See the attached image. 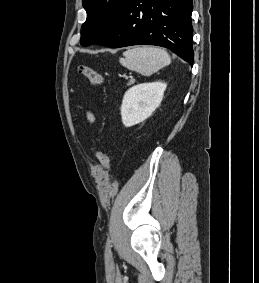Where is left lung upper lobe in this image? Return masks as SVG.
Listing matches in <instances>:
<instances>
[{
  "instance_id": "obj_1",
  "label": "left lung upper lobe",
  "mask_w": 259,
  "mask_h": 283,
  "mask_svg": "<svg viewBox=\"0 0 259 283\" xmlns=\"http://www.w3.org/2000/svg\"><path fill=\"white\" fill-rule=\"evenodd\" d=\"M129 0H82L87 19L82 25L81 45L97 44L117 23Z\"/></svg>"
}]
</instances>
